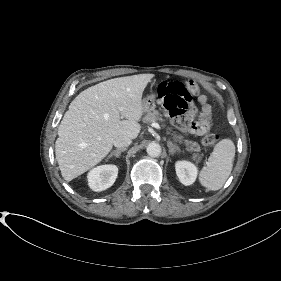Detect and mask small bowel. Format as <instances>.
I'll return each instance as SVG.
<instances>
[{"label": "small bowel", "instance_id": "c3829d8e", "mask_svg": "<svg viewBox=\"0 0 281 281\" xmlns=\"http://www.w3.org/2000/svg\"><path fill=\"white\" fill-rule=\"evenodd\" d=\"M198 103L201 106V115H200V119L196 122H193L188 128H186L185 126L181 125L180 122L176 119L172 118V121L174 123H176V125L183 131H188L191 134H195V135H202L204 134L208 127L203 119V117H207L208 119H211V106L208 103L207 97L205 95H200L198 97ZM192 112L194 113L195 110L192 109ZM166 116H168V113H165Z\"/></svg>", "mask_w": 281, "mask_h": 281}]
</instances>
